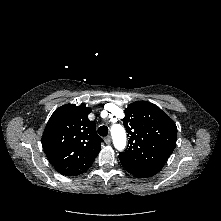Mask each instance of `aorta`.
Returning <instances> with one entry per match:
<instances>
[{
	"label": "aorta",
	"instance_id": "1",
	"mask_svg": "<svg viewBox=\"0 0 221 221\" xmlns=\"http://www.w3.org/2000/svg\"><path fill=\"white\" fill-rule=\"evenodd\" d=\"M111 135L115 148L122 151L126 147V132L122 125L114 124L111 127Z\"/></svg>",
	"mask_w": 221,
	"mask_h": 221
}]
</instances>
